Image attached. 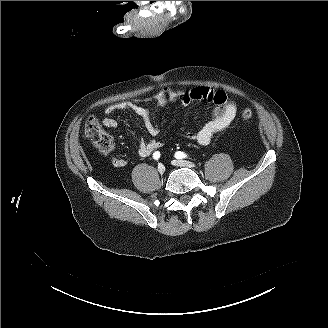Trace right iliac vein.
Returning <instances> with one entry per match:
<instances>
[{
    "instance_id": "right-iliac-vein-1",
    "label": "right iliac vein",
    "mask_w": 328,
    "mask_h": 328,
    "mask_svg": "<svg viewBox=\"0 0 328 328\" xmlns=\"http://www.w3.org/2000/svg\"><path fill=\"white\" fill-rule=\"evenodd\" d=\"M165 171H166L165 166H164L163 164H159V165H158V172H159L160 174H164Z\"/></svg>"
}]
</instances>
